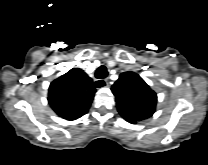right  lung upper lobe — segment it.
<instances>
[{
	"instance_id": "right-lung-upper-lobe-1",
	"label": "right lung upper lobe",
	"mask_w": 208,
	"mask_h": 165,
	"mask_svg": "<svg viewBox=\"0 0 208 165\" xmlns=\"http://www.w3.org/2000/svg\"><path fill=\"white\" fill-rule=\"evenodd\" d=\"M48 91V102L54 112L72 121L88 112L96 89L83 70L73 68L51 82Z\"/></svg>"
}]
</instances>
